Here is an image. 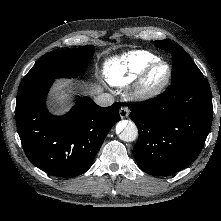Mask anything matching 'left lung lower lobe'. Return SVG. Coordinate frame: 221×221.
I'll return each mask as SVG.
<instances>
[{"label": "left lung lower lobe", "instance_id": "obj_1", "mask_svg": "<svg viewBox=\"0 0 221 221\" xmlns=\"http://www.w3.org/2000/svg\"><path fill=\"white\" fill-rule=\"evenodd\" d=\"M128 106L139 130L133 151L141 170L166 176L198 157L212 124V96L206 78L173 82L155 99Z\"/></svg>", "mask_w": 221, "mask_h": 221}]
</instances>
